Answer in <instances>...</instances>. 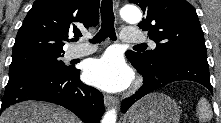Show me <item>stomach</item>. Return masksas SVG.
Listing matches in <instances>:
<instances>
[{"label":"stomach","mask_w":221,"mask_h":123,"mask_svg":"<svg viewBox=\"0 0 221 123\" xmlns=\"http://www.w3.org/2000/svg\"><path fill=\"white\" fill-rule=\"evenodd\" d=\"M181 111L169 96L154 92L137 101L123 123H179Z\"/></svg>","instance_id":"0dacf381"}]
</instances>
